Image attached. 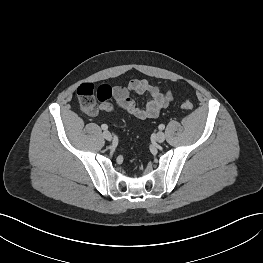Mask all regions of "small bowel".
Instances as JSON below:
<instances>
[{
    "label": "small bowel",
    "mask_w": 263,
    "mask_h": 263,
    "mask_svg": "<svg viewBox=\"0 0 263 263\" xmlns=\"http://www.w3.org/2000/svg\"><path fill=\"white\" fill-rule=\"evenodd\" d=\"M132 93L146 95L148 96V101L144 105H139L131 97ZM113 96L117 108L140 120L156 118L160 111L173 99L171 92H162L148 80L140 78L130 80L126 86L114 87ZM112 111H114V105L106 102L95 106L92 110L88 111L87 114L95 117L98 116L100 112Z\"/></svg>",
    "instance_id": "obj_1"
}]
</instances>
